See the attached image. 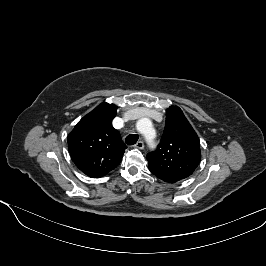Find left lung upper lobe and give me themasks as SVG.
I'll return each instance as SVG.
<instances>
[{"label":"left lung upper lobe","instance_id":"5c2ea615","mask_svg":"<svg viewBox=\"0 0 266 266\" xmlns=\"http://www.w3.org/2000/svg\"><path fill=\"white\" fill-rule=\"evenodd\" d=\"M201 159L199 138L177 106L166 111V124L158 148L147 154L149 170L159 179L175 183L189 177Z\"/></svg>","mask_w":266,"mask_h":266}]
</instances>
